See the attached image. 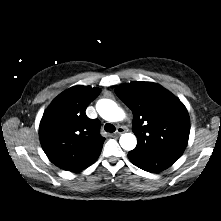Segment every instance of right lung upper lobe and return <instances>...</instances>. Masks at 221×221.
<instances>
[{
  "instance_id": "1",
  "label": "right lung upper lobe",
  "mask_w": 221,
  "mask_h": 221,
  "mask_svg": "<svg viewBox=\"0 0 221 221\" xmlns=\"http://www.w3.org/2000/svg\"><path fill=\"white\" fill-rule=\"evenodd\" d=\"M99 94V88L74 86L58 95L44 112L39 126L41 146L59 168L78 172L100 155L105 140L99 134L100 123L85 114Z\"/></svg>"
}]
</instances>
